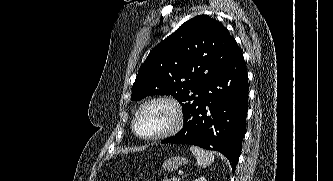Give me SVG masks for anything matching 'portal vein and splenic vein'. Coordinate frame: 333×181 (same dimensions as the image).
I'll return each instance as SVG.
<instances>
[{
    "label": "portal vein and splenic vein",
    "mask_w": 333,
    "mask_h": 181,
    "mask_svg": "<svg viewBox=\"0 0 333 181\" xmlns=\"http://www.w3.org/2000/svg\"><path fill=\"white\" fill-rule=\"evenodd\" d=\"M172 181H178V178L177 177H173Z\"/></svg>",
    "instance_id": "18ae733b"
}]
</instances>
